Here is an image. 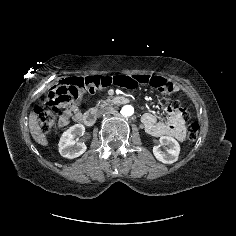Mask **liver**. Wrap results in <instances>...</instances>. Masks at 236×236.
Instances as JSON below:
<instances>
[{
  "mask_svg": "<svg viewBox=\"0 0 236 236\" xmlns=\"http://www.w3.org/2000/svg\"><path fill=\"white\" fill-rule=\"evenodd\" d=\"M29 129L33 139L42 146H47L48 141L44 133H42L41 128L37 121V115L34 112H31L29 115Z\"/></svg>",
  "mask_w": 236,
  "mask_h": 236,
  "instance_id": "1",
  "label": "liver"
}]
</instances>
